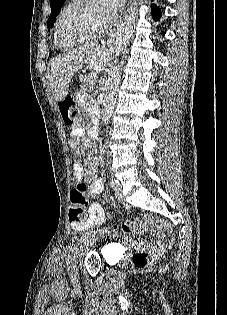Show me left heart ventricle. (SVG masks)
<instances>
[{
	"mask_svg": "<svg viewBox=\"0 0 227 315\" xmlns=\"http://www.w3.org/2000/svg\"><path fill=\"white\" fill-rule=\"evenodd\" d=\"M106 25L97 0H89L62 27V36L67 41H79L95 34Z\"/></svg>",
	"mask_w": 227,
	"mask_h": 315,
	"instance_id": "obj_1",
	"label": "left heart ventricle"
}]
</instances>
